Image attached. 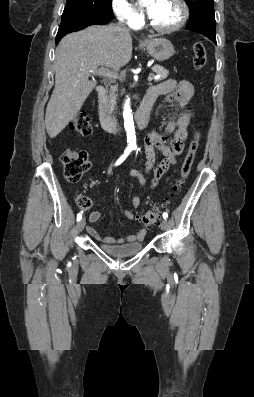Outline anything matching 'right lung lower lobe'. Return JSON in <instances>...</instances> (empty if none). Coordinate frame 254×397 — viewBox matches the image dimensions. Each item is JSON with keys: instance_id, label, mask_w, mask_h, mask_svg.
I'll use <instances>...</instances> for the list:
<instances>
[{"instance_id": "1", "label": "right lung lower lobe", "mask_w": 254, "mask_h": 397, "mask_svg": "<svg viewBox=\"0 0 254 397\" xmlns=\"http://www.w3.org/2000/svg\"><path fill=\"white\" fill-rule=\"evenodd\" d=\"M113 17V14L96 16L74 9H64L55 43L58 44L62 37L68 33L82 30L91 25H104Z\"/></svg>"}]
</instances>
